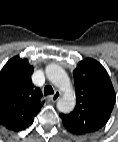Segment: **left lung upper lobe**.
Instances as JSON below:
<instances>
[{
	"instance_id": "obj_1",
	"label": "left lung upper lobe",
	"mask_w": 118,
	"mask_h": 142,
	"mask_svg": "<svg viewBox=\"0 0 118 142\" xmlns=\"http://www.w3.org/2000/svg\"><path fill=\"white\" fill-rule=\"evenodd\" d=\"M77 104L69 114H60L62 122L82 134L102 128L111 115L116 95L104 67L94 59L79 62L73 72Z\"/></svg>"
}]
</instances>
